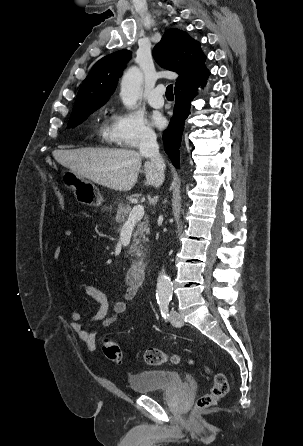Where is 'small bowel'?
I'll return each instance as SVG.
<instances>
[{
  "label": "small bowel",
  "mask_w": 303,
  "mask_h": 446,
  "mask_svg": "<svg viewBox=\"0 0 303 446\" xmlns=\"http://www.w3.org/2000/svg\"><path fill=\"white\" fill-rule=\"evenodd\" d=\"M74 236L75 231L73 229L69 228L64 231V237L66 239H72ZM61 255V246H56L53 251L54 260L58 262ZM81 288L85 295L97 304V309L87 320H83L77 310H72L70 313V318L72 320L71 327L89 350H95L97 346L96 337L86 328V325L89 323L100 322L103 326H108L115 322L117 318L126 311L128 302L132 301L137 296L138 286L129 285L122 297L114 303L111 314H109L108 298L101 289L90 284H82Z\"/></svg>",
  "instance_id": "small-bowel-1"
}]
</instances>
